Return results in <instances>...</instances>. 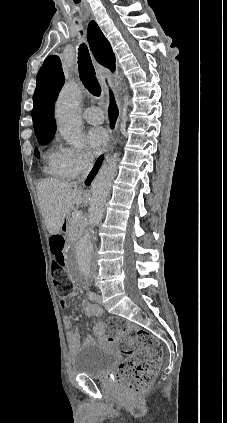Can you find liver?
I'll return each instance as SVG.
<instances>
[{
	"instance_id": "liver-1",
	"label": "liver",
	"mask_w": 227,
	"mask_h": 423,
	"mask_svg": "<svg viewBox=\"0 0 227 423\" xmlns=\"http://www.w3.org/2000/svg\"><path fill=\"white\" fill-rule=\"evenodd\" d=\"M40 210L49 233H59L65 217L70 215L75 204L79 208L87 202L88 194L84 190L73 188L69 182L43 180L37 186Z\"/></svg>"
}]
</instances>
